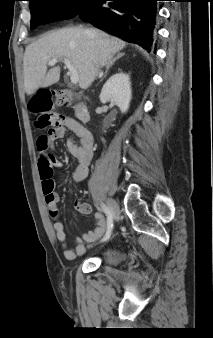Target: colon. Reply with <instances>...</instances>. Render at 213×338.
Here are the masks:
<instances>
[{"mask_svg":"<svg viewBox=\"0 0 213 338\" xmlns=\"http://www.w3.org/2000/svg\"><path fill=\"white\" fill-rule=\"evenodd\" d=\"M73 99L67 95H54L50 91H39L29 101V109L36 117V125L40 128H55L64 123V117L53 111V108L72 106ZM42 186L45 194H49L54 187L50 174L42 176Z\"/></svg>","mask_w":213,"mask_h":338,"instance_id":"colon-1","label":"colon"}]
</instances>
